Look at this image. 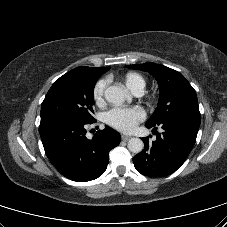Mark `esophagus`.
I'll use <instances>...</instances> for the list:
<instances>
[{"label":"esophagus","mask_w":227,"mask_h":227,"mask_svg":"<svg viewBox=\"0 0 227 227\" xmlns=\"http://www.w3.org/2000/svg\"><path fill=\"white\" fill-rule=\"evenodd\" d=\"M121 138H122L123 141H128L131 138V136L122 135Z\"/></svg>","instance_id":"34e87169"}]
</instances>
